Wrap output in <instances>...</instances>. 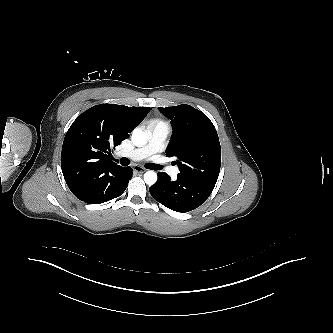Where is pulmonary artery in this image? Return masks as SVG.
Segmentation results:
<instances>
[{
  "label": "pulmonary artery",
  "mask_w": 333,
  "mask_h": 333,
  "mask_svg": "<svg viewBox=\"0 0 333 333\" xmlns=\"http://www.w3.org/2000/svg\"><path fill=\"white\" fill-rule=\"evenodd\" d=\"M170 133V127L165 122H156L149 126V141L141 147L133 150H122L117 153L119 157H127L132 160H142L152 156L162 150L164 142ZM168 172L172 176H176L179 172L177 167H171Z\"/></svg>",
  "instance_id": "obj_1"
}]
</instances>
